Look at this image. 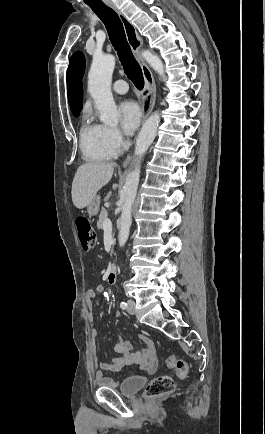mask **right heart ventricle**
Wrapping results in <instances>:
<instances>
[{"label":"right heart ventricle","mask_w":265,"mask_h":434,"mask_svg":"<svg viewBox=\"0 0 265 434\" xmlns=\"http://www.w3.org/2000/svg\"><path fill=\"white\" fill-rule=\"evenodd\" d=\"M90 74V72H89ZM80 150L89 163H99L113 160L117 154H112L101 141V125L94 122V116L89 106H84L79 114Z\"/></svg>","instance_id":"right-heart-ventricle-1"}]
</instances>
